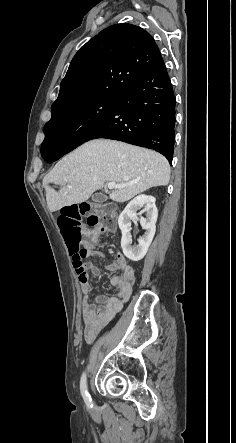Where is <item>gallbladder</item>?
<instances>
[{"mask_svg":"<svg viewBox=\"0 0 236 443\" xmlns=\"http://www.w3.org/2000/svg\"><path fill=\"white\" fill-rule=\"evenodd\" d=\"M92 200H93L94 202H99V203H101V202L106 201V200H107V197H106L104 194H102V193H95V194L93 195V197H92Z\"/></svg>","mask_w":236,"mask_h":443,"instance_id":"gallbladder-1","label":"gallbladder"}]
</instances>
